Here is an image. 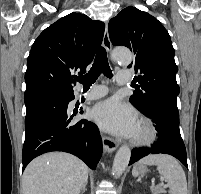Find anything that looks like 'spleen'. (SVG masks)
Returning <instances> with one entry per match:
<instances>
[{
  "instance_id": "spleen-1",
  "label": "spleen",
  "mask_w": 201,
  "mask_h": 194,
  "mask_svg": "<svg viewBox=\"0 0 201 194\" xmlns=\"http://www.w3.org/2000/svg\"><path fill=\"white\" fill-rule=\"evenodd\" d=\"M138 164L156 165L167 182L170 194H188L185 172L174 157L166 154L149 155L141 159ZM132 175L138 176L137 165L133 167Z\"/></svg>"
}]
</instances>
